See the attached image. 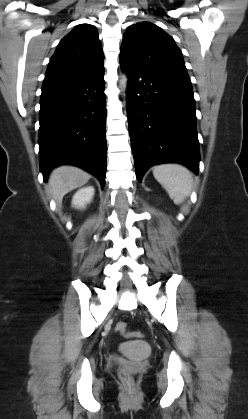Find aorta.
I'll return each mask as SVG.
<instances>
[{
    "mask_svg": "<svg viewBox=\"0 0 248 419\" xmlns=\"http://www.w3.org/2000/svg\"><path fill=\"white\" fill-rule=\"evenodd\" d=\"M127 83H128V78L126 76V74H123L121 79H120V85L123 89H126L127 87Z\"/></svg>",
    "mask_w": 248,
    "mask_h": 419,
    "instance_id": "obj_1",
    "label": "aorta"
}]
</instances>
